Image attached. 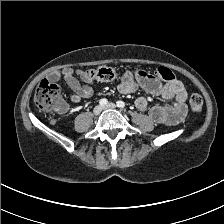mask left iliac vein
<instances>
[{
	"label": "left iliac vein",
	"instance_id": "left-iliac-vein-1",
	"mask_svg": "<svg viewBox=\"0 0 224 224\" xmlns=\"http://www.w3.org/2000/svg\"><path fill=\"white\" fill-rule=\"evenodd\" d=\"M104 109H115L116 105L114 103H108L103 107Z\"/></svg>",
	"mask_w": 224,
	"mask_h": 224
}]
</instances>
